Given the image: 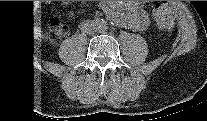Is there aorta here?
Segmentation results:
<instances>
[{
	"label": "aorta",
	"mask_w": 207,
	"mask_h": 121,
	"mask_svg": "<svg viewBox=\"0 0 207 121\" xmlns=\"http://www.w3.org/2000/svg\"><path fill=\"white\" fill-rule=\"evenodd\" d=\"M136 1H112V5L109 8V19L113 24L122 28L132 27L133 19L130 12L134 9ZM96 32L103 33L106 30L105 20H96L95 21Z\"/></svg>",
	"instance_id": "aorta-1"
}]
</instances>
